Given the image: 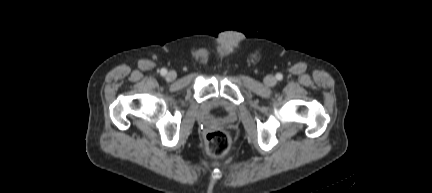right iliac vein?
Instances as JSON below:
<instances>
[{
    "mask_svg": "<svg viewBox=\"0 0 432 193\" xmlns=\"http://www.w3.org/2000/svg\"><path fill=\"white\" fill-rule=\"evenodd\" d=\"M176 77H177V74H176V72H174V71H170V72H168L167 75H166V79H167L168 81H173V80L176 79Z\"/></svg>",
    "mask_w": 432,
    "mask_h": 193,
    "instance_id": "63e3f726",
    "label": "right iliac vein"
}]
</instances>
